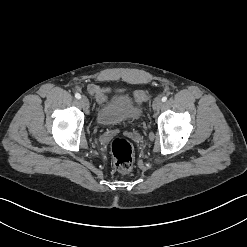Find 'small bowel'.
I'll list each match as a JSON object with an SVG mask.
<instances>
[{
  "label": "small bowel",
  "mask_w": 247,
  "mask_h": 247,
  "mask_svg": "<svg viewBox=\"0 0 247 247\" xmlns=\"http://www.w3.org/2000/svg\"><path fill=\"white\" fill-rule=\"evenodd\" d=\"M87 91L96 98L100 105H105L112 93L111 88L102 87L93 83L88 85ZM132 95L135 105L141 104L147 98L146 93L143 90H135Z\"/></svg>",
  "instance_id": "c3829d8e"
}]
</instances>
